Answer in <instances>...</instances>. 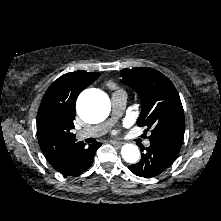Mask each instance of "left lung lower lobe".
Here are the masks:
<instances>
[{
	"label": "left lung lower lobe",
	"instance_id": "0a47b994",
	"mask_svg": "<svg viewBox=\"0 0 221 221\" xmlns=\"http://www.w3.org/2000/svg\"><path fill=\"white\" fill-rule=\"evenodd\" d=\"M150 142L146 149L142 147L141 152H145L140 162L128 167L132 173L144 178L155 177L169 168L176 160L182 145L164 139H152Z\"/></svg>",
	"mask_w": 221,
	"mask_h": 221
}]
</instances>
